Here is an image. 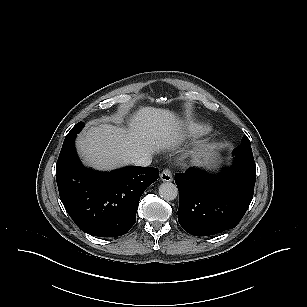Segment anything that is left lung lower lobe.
Here are the masks:
<instances>
[{"label": "left lung lower lobe", "mask_w": 307, "mask_h": 307, "mask_svg": "<svg viewBox=\"0 0 307 307\" xmlns=\"http://www.w3.org/2000/svg\"><path fill=\"white\" fill-rule=\"evenodd\" d=\"M234 160L232 168L217 175L193 167L175 174L178 221L189 234L214 235L241 221L253 198L256 167L254 159Z\"/></svg>", "instance_id": "obj_1"}]
</instances>
